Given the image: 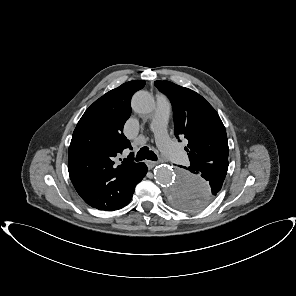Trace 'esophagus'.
<instances>
[{
  "mask_svg": "<svg viewBox=\"0 0 296 296\" xmlns=\"http://www.w3.org/2000/svg\"><path fill=\"white\" fill-rule=\"evenodd\" d=\"M145 163H146L148 169H152V168L157 164V162H155V161H150V160H146Z\"/></svg>",
  "mask_w": 296,
  "mask_h": 296,
  "instance_id": "34e87169",
  "label": "esophagus"
}]
</instances>
